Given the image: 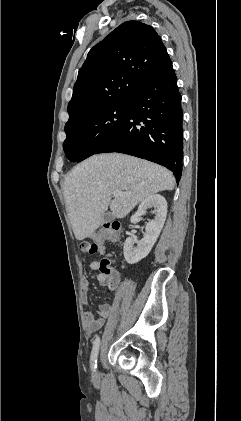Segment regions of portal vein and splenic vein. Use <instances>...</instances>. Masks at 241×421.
<instances>
[{
    "label": "portal vein and splenic vein",
    "mask_w": 241,
    "mask_h": 421,
    "mask_svg": "<svg viewBox=\"0 0 241 421\" xmlns=\"http://www.w3.org/2000/svg\"><path fill=\"white\" fill-rule=\"evenodd\" d=\"M123 194L122 193H120V192H113V197H119V196H122Z\"/></svg>",
    "instance_id": "portal-vein-and-splenic-vein-1"
}]
</instances>
